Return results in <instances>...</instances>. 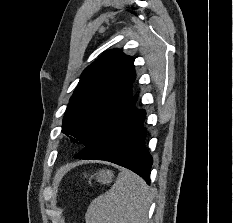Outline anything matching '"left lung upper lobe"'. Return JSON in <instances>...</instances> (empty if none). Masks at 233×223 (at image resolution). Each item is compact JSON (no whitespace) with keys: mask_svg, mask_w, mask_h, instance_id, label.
Here are the masks:
<instances>
[{"mask_svg":"<svg viewBox=\"0 0 233 223\" xmlns=\"http://www.w3.org/2000/svg\"><path fill=\"white\" fill-rule=\"evenodd\" d=\"M134 59L118 49L104 52L82 73L70 98L62 132L88 145L133 97Z\"/></svg>","mask_w":233,"mask_h":223,"instance_id":"1","label":"left lung upper lobe"}]
</instances>
